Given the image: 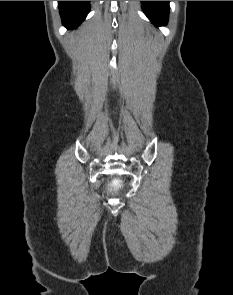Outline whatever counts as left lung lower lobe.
Wrapping results in <instances>:
<instances>
[{
  "label": "left lung lower lobe",
  "instance_id": "1",
  "mask_svg": "<svg viewBox=\"0 0 233 295\" xmlns=\"http://www.w3.org/2000/svg\"><path fill=\"white\" fill-rule=\"evenodd\" d=\"M146 16L155 25H165L168 21L169 1H141Z\"/></svg>",
  "mask_w": 233,
  "mask_h": 295
}]
</instances>
